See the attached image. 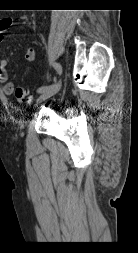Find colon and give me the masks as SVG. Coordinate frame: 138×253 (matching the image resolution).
<instances>
[{
	"label": "colon",
	"instance_id": "1",
	"mask_svg": "<svg viewBox=\"0 0 138 253\" xmlns=\"http://www.w3.org/2000/svg\"><path fill=\"white\" fill-rule=\"evenodd\" d=\"M13 93L18 102L27 104L32 102V97L29 95L28 89L25 87L19 86L15 88Z\"/></svg>",
	"mask_w": 138,
	"mask_h": 253
}]
</instances>
